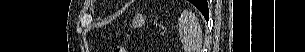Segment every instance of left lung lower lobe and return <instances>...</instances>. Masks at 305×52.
<instances>
[{
  "label": "left lung lower lobe",
  "mask_w": 305,
  "mask_h": 52,
  "mask_svg": "<svg viewBox=\"0 0 305 52\" xmlns=\"http://www.w3.org/2000/svg\"><path fill=\"white\" fill-rule=\"evenodd\" d=\"M204 5L203 7H199L198 9L201 11V13L204 15L205 19L208 20L209 18V11H208V4L207 0H203Z\"/></svg>",
  "instance_id": "1"
}]
</instances>
